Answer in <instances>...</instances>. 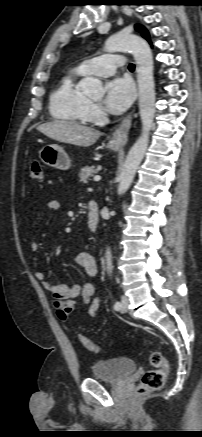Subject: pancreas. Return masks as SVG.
Here are the masks:
<instances>
[{
	"mask_svg": "<svg viewBox=\"0 0 202 437\" xmlns=\"http://www.w3.org/2000/svg\"><path fill=\"white\" fill-rule=\"evenodd\" d=\"M97 173V169L94 166H85L80 170L79 177L80 182L87 183L88 179Z\"/></svg>",
	"mask_w": 202,
	"mask_h": 437,
	"instance_id": "pancreas-1",
	"label": "pancreas"
}]
</instances>
